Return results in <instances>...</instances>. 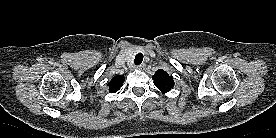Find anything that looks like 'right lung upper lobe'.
Masks as SVG:
<instances>
[{"instance_id": "obj_1", "label": "right lung upper lobe", "mask_w": 276, "mask_h": 138, "mask_svg": "<svg viewBox=\"0 0 276 138\" xmlns=\"http://www.w3.org/2000/svg\"><path fill=\"white\" fill-rule=\"evenodd\" d=\"M123 81H124V76H120V75L114 76L112 80L108 83L109 91L111 93L117 92L122 86Z\"/></svg>"}]
</instances>
